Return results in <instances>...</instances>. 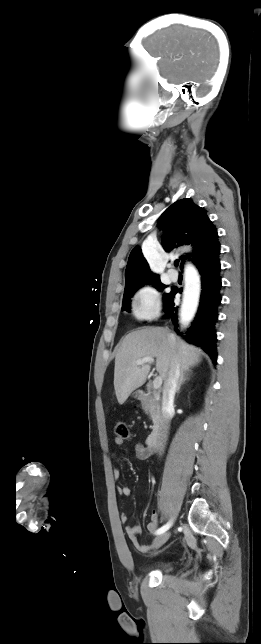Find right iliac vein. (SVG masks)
Listing matches in <instances>:
<instances>
[{
	"label": "right iliac vein",
	"mask_w": 261,
	"mask_h": 644,
	"mask_svg": "<svg viewBox=\"0 0 261 644\" xmlns=\"http://www.w3.org/2000/svg\"><path fill=\"white\" fill-rule=\"evenodd\" d=\"M169 537H170V533H169V532H166V533L160 534V535H159V536H157V537L154 539V541H153V545H154V547H155V548H159V547H161V546H162V545H163V544H164V543L169 539Z\"/></svg>",
	"instance_id": "63e3f726"
}]
</instances>
